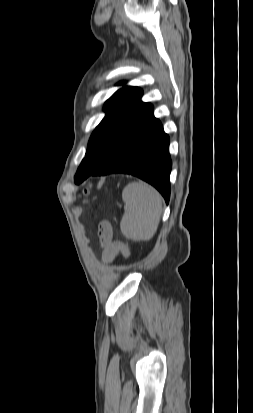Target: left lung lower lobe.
<instances>
[{"instance_id": "1", "label": "left lung lower lobe", "mask_w": 253, "mask_h": 413, "mask_svg": "<svg viewBox=\"0 0 253 413\" xmlns=\"http://www.w3.org/2000/svg\"><path fill=\"white\" fill-rule=\"evenodd\" d=\"M121 137L111 157L91 175L126 173L152 184L170 199L169 136L150 105L138 117L121 124Z\"/></svg>"}]
</instances>
